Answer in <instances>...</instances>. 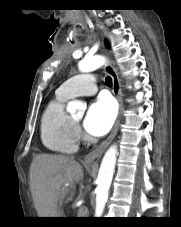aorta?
Wrapping results in <instances>:
<instances>
[{
    "mask_svg": "<svg viewBox=\"0 0 181 227\" xmlns=\"http://www.w3.org/2000/svg\"><path fill=\"white\" fill-rule=\"evenodd\" d=\"M105 63V57L95 55L81 60L78 64V68L81 72L86 73L98 69ZM85 109L86 104L77 100L71 101L67 106V110L70 113H75L76 111L83 113ZM117 153V145L113 144L106 151L102 159L97 177L95 217H102L105 204L108 199V191L115 171Z\"/></svg>",
    "mask_w": 181,
    "mask_h": 227,
    "instance_id": "1",
    "label": "aorta"
}]
</instances>
